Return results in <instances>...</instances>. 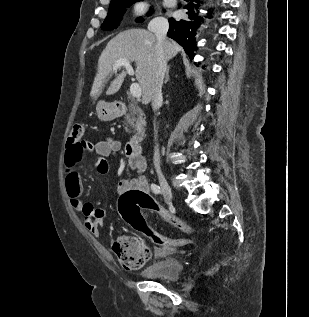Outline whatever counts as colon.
<instances>
[{
  "instance_id": "1",
  "label": "colon",
  "mask_w": 309,
  "mask_h": 317,
  "mask_svg": "<svg viewBox=\"0 0 309 317\" xmlns=\"http://www.w3.org/2000/svg\"><path fill=\"white\" fill-rule=\"evenodd\" d=\"M84 131V125H73L68 139L65 156L66 163L73 164L80 161L84 156L85 145L90 149L89 144L82 140ZM143 209L152 210L160 214L170 224L184 232H194L191 226L166 212L158 205L154 198L146 192L132 189L120 196L119 212L121 217L135 229L143 233L154 244L168 249L192 244V240L190 239H172L155 232L146 224L141 214V210ZM112 250L120 265L126 270L141 269L150 257V250L147 244L142 239L130 235L117 237L113 241Z\"/></svg>"
}]
</instances>
